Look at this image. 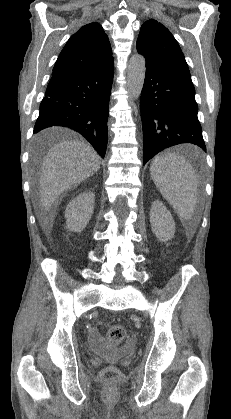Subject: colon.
<instances>
[{"mask_svg":"<svg viewBox=\"0 0 231 419\" xmlns=\"http://www.w3.org/2000/svg\"><path fill=\"white\" fill-rule=\"evenodd\" d=\"M126 337V330L121 324H113L107 331V342L111 347L120 345ZM118 370L114 366H107L101 370L99 377L107 386L115 385L118 378Z\"/></svg>","mask_w":231,"mask_h":419,"instance_id":"1","label":"colon"}]
</instances>
